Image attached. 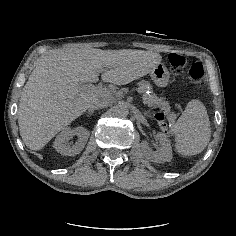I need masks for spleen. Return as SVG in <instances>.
I'll return each mask as SVG.
<instances>
[{"instance_id": "3e777b00", "label": "spleen", "mask_w": 236, "mask_h": 236, "mask_svg": "<svg viewBox=\"0 0 236 236\" xmlns=\"http://www.w3.org/2000/svg\"><path fill=\"white\" fill-rule=\"evenodd\" d=\"M176 149L183 155L201 153L211 137L209 116L204 104L199 100L188 102L175 124Z\"/></svg>"}]
</instances>
